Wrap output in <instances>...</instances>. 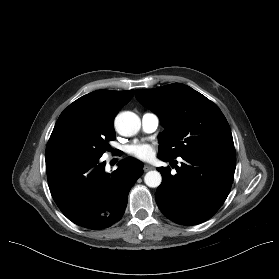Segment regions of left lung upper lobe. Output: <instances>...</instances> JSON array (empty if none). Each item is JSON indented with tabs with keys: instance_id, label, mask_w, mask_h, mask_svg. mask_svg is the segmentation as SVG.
<instances>
[{
	"instance_id": "left-lung-upper-lobe-1",
	"label": "left lung upper lobe",
	"mask_w": 279,
	"mask_h": 279,
	"mask_svg": "<svg viewBox=\"0 0 279 279\" xmlns=\"http://www.w3.org/2000/svg\"><path fill=\"white\" fill-rule=\"evenodd\" d=\"M138 101L156 113L165 128L159 134L158 157L208 151L234 152L229 124L216 104L187 85L173 83L136 90Z\"/></svg>"
}]
</instances>
